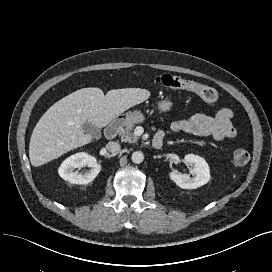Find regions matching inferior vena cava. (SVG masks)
Returning a JSON list of instances; mask_svg holds the SVG:
<instances>
[{
  "instance_id": "1",
  "label": "inferior vena cava",
  "mask_w": 272,
  "mask_h": 272,
  "mask_svg": "<svg viewBox=\"0 0 272 272\" xmlns=\"http://www.w3.org/2000/svg\"><path fill=\"white\" fill-rule=\"evenodd\" d=\"M106 148L111 153H118L121 149V146L118 142L110 141L106 144Z\"/></svg>"
}]
</instances>
